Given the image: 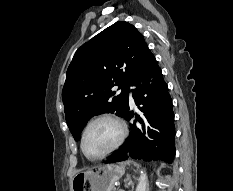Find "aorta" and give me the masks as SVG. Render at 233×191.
Masks as SVG:
<instances>
[{
    "label": "aorta",
    "instance_id": "762f6f07",
    "mask_svg": "<svg viewBox=\"0 0 233 191\" xmlns=\"http://www.w3.org/2000/svg\"><path fill=\"white\" fill-rule=\"evenodd\" d=\"M146 187H147V176L144 171H141L139 182L136 187V191H146Z\"/></svg>",
    "mask_w": 233,
    "mask_h": 191
}]
</instances>
